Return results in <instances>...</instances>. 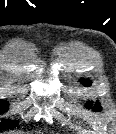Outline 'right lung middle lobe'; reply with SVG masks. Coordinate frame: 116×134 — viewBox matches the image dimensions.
I'll list each match as a JSON object with an SVG mask.
<instances>
[{"mask_svg": "<svg viewBox=\"0 0 116 134\" xmlns=\"http://www.w3.org/2000/svg\"><path fill=\"white\" fill-rule=\"evenodd\" d=\"M9 104L5 100H0V113H4L7 111ZM18 125V122L11 120H4L0 123V130L4 129H13Z\"/></svg>", "mask_w": 116, "mask_h": 134, "instance_id": "right-lung-middle-lobe-1", "label": "right lung middle lobe"}]
</instances>
